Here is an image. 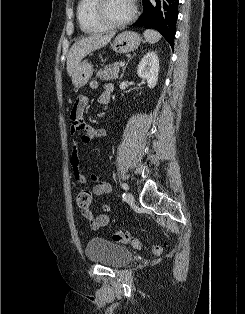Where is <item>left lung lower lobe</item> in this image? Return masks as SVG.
<instances>
[{"instance_id": "1", "label": "left lung lower lobe", "mask_w": 245, "mask_h": 314, "mask_svg": "<svg viewBox=\"0 0 245 314\" xmlns=\"http://www.w3.org/2000/svg\"><path fill=\"white\" fill-rule=\"evenodd\" d=\"M143 13L133 26L159 31L173 47L179 0H143Z\"/></svg>"}]
</instances>
